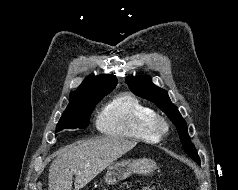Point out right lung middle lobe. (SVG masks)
Returning a JSON list of instances; mask_svg holds the SVG:
<instances>
[{"instance_id":"obj_1","label":"right lung middle lobe","mask_w":238,"mask_h":190,"mask_svg":"<svg viewBox=\"0 0 238 190\" xmlns=\"http://www.w3.org/2000/svg\"><path fill=\"white\" fill-rule=\"evenodd\" d=\"M108 93L97 94L82 98L78 104L67 106L57 124V131L63 129L86 128L89 125V120L95 105Z\"/></svg>"}]
</instances>
